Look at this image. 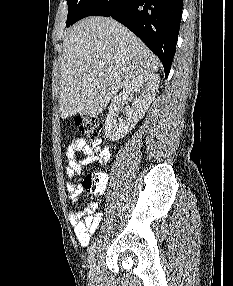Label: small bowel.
I'll list each match as a JSON object with an SVG mask.
<instances>
[{"label": "small bowel", "mask_w": 233, "mask_h": 286, "mask_svg": "<svg viewBox=\"0 0 233 286\" xmlns=\"http://www.w3.org/2000/svg\"><path fill=\"white\" fill-rule=\"evenodd\" d=\"M77 153H82L83 157L77 159ZM66 157L68 162L66 174L69 178H72L75 175H79L84 166L96 162H107L110 153L106 147L95 153L84 138H75L66 150ZM66 190L72 203L77 202L85 191L81 185L73 183H67ZM103 191L104 189L96 192V194H102ZM97 209L98 203L90 202L84 209L72 210L69 213V221L74 228L75 236L78 242L83 246L89 244L91 235L95 232L101 221V214L97 213Z\"/></svg>", "instance_id": "c3829d8e"}]
</instances>
